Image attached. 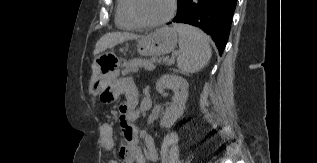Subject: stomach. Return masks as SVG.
Wrapping results in <instances>:
<instances>
[{"mask_svg":"<svg viewBox=\"0 0 317 163\" xmlns=\"http://www.w3.org/2000/svg\"><path fill=\"white\" fill-rule=\"evenodd\" d=\"M178 42V35L172 27H162L137 41V52L141 56H159L172 52ZM118 69L102 61V56L95 58L93 74L89 83V93L100 95L117 76Z\"/></svg>","mask_w":317,"mask_h":163,"instance_id":"1","label":"stomach"}]
</instances>
